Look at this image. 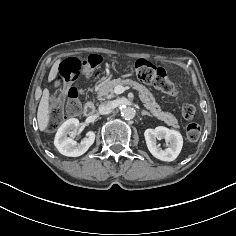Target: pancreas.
I'll use <instances>...</instances> for the list:
<instances>
[{"label": "pancreas", "instance_id": "pancreas-1", "mask_svg": "<svg viewBox=\"0 0 236 236\" xmlns=\"http://www.w3.org/2000/svg\"><path fill=\"white\" fill-rule=\"evenodd\" d=\"M118 85H128L131 86L133 89L139 91V96L141 100L145 103L144 106L148 110H150L153 116L157 117L159 120L164 121L168 126H172L177 129L179 128L178 120L175 118V116L170 113H165L161 111L160 106L156 103L152 93L145 86L131 79L117 78L102 82L96 90L97 98L99 100L113 98L115 96L114 88Z\"/></svg>", "mask_w": 236, "mask_h": 236}]
</instances>
